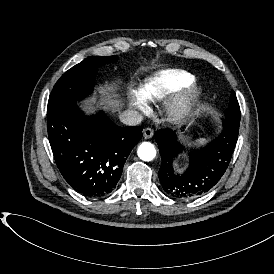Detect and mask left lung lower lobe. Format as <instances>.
Returning a JSON list of instances; mask_svg holds the SVG:
<instances>
[{
  "instance_id": "1",
  "label": "left lung lower lobe",
  "mask_w": 274,
  "mask_h": 274,
  "mask_svg": "<svg viewBox=\"0 0 274 274\" xmlns=\"http://www.w3.org/2000/svg\"><path fill=\"white\" fill-rule=\"evenodd\" d=\"M238 133L239 126L225 123L221 135L208 146L193 150L186 172L176 175L172 163L183 147L177 142V136L172 130H157L155 139L162 157L158 176L164 191L175 198H194L208 192L224 175Z\"/></svg>"
}]
</instances>
